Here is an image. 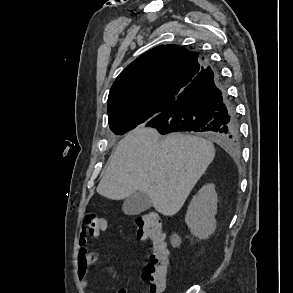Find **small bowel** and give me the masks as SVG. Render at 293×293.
<instances>
[{
    "label": "small bowel",
    "instance_id": "1",
    "mask_svg": "<svg viewBox=\"0 0 293 293\" xmlns=\"http://www.w3.org/2000/svg\"><path fill=\"white\" fill-rule=\"evenodd\" d=\"M99 260H100V256L97 252L89 251L88 239L86 235L82 232L78 238L77 271L81 281V285L84 288L89 287V282L86 279V276L89 273V267L93 264L98 263ZM90 293H93V292H90ZM117 293H127V290L120 289L117 291Z\"/></svg>",
    "mask_w": 293,
    "mask_h": 293
}]
</instances>
